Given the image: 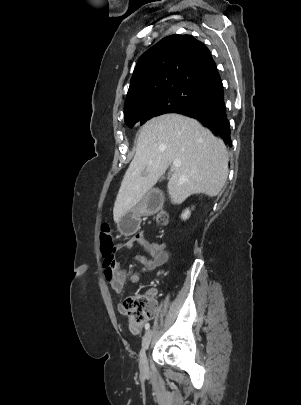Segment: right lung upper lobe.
Masks as SVG:
<instances>
[{"mask_svg": "<svg viewBox=\"0 0 301 405\" xmlns=\"http://www.w3.org/2000/svg\"><path fill=\"white\" fill-rule=\"evenodd\" d=\"M222 81L209 49L190 35H170L138 60L126 96L124 113L148 96L180 87L208 94Z\"/></svg>", "mask_w": 301, "mask_h": 405, "instance_id": "1", "label": "right lung upper lobe"}]
</instances>
